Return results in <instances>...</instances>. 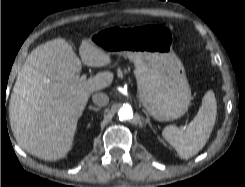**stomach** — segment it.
<instances>
[{
    "mask_svg": "<svg viewBox=\"0 0 245 187\" xmlns=\"http://www.w3.org/2000/svg\"><path fill=\"white\" fill-rule=\"evenodd\" d=\"M172 39V32L157 24L109 27L89 38L106 53L122 55L135 64L139 99L158 121L183 116L191 101L185 69L172 50Z\"/></svg>",
    "mask_w": 245,
    "mask_h": 187,
    "instance_id": "obj_1",
    "label": "stomach"
}]
</instances>
